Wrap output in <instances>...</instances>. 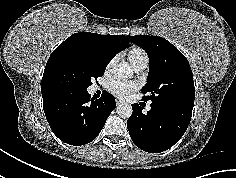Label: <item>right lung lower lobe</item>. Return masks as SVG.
Returning <instances> with one entry per match:
<instances>
[{"label": "right lung lower lobe", "mask_w": 236, "mask_h": 178, "mask_svg": "<svg viewBox=\"0 0 236 178\" xmlns=\"http://www.w3.org/2000/svg\"><path fill=\"white\" fill-rule=\"evenodd\" d=\"M90 98L87 91L43 97L46 119L61 141L74 146L84 145L100 133L116 107L115 99L107 92L100 99Z\"/></svg>", "instance_id": "1"}]
</instances>
